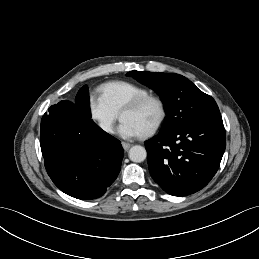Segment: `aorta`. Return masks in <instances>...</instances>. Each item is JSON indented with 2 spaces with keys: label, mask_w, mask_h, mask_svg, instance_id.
Wrapping results in <instances>:
<instances>
[{
  "label": "aorta",
  "mask_w": 259,
  "mask_h": 259,
  "mask_svg": "<svg viewBox=\"0 0 259 259\" xmlns=\"http://www.w3.org/2000/svg\"><path fill=\"white\" fill-rule=\"evenodd\" d=\"M147 157L146 149L140 145H135L129 150V158L131 161L140 163Z\"/></svg>",
  "instance_id": "762f6f07"
}]
</instances>
